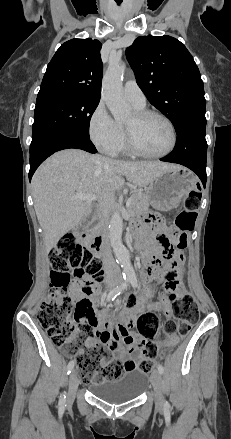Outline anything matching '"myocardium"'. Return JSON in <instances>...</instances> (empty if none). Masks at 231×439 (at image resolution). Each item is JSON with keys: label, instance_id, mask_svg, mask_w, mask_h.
I'll list each match as a JSON object with an SVG mask.
<instances>
[{"label": "myocardium", "instance_id": "f54148a6", "mask_svg": "<svg viewBox=\"0 0 231 439\" xmlns=\"http://www.w3.org/2000/svg\"><path fill=\"white\" fill-rule=\"evenodd\" d=\"M135 115H136L138 120H142V119H145V118L150 117V116H155V117L162 119L168 125V127L170 129L171 144H170L168 149H166L165 151H163L161 153H156V154L146 153V152L142 151L137 146L131 129L125 126L124 133H125L126 146H127V149L132 154H134L138 157L147 158V159H158V158H163L174 151V149L176 148V145H177L178 136H177V131H176L175 125L168 116H166L165 114H163L157 110H152V109L137 110L135 112Z\"/></svg>", "mask_w": 231, "mask_h": 439}]
</instances>
